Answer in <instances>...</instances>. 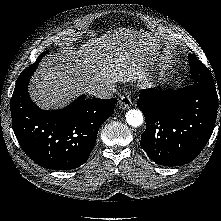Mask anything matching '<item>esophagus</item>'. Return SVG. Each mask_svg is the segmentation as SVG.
<instances>
[{
	"mask_svg": "<svg viewBox=\"0 0 221 221\" xmlns=\"http://www.w3.org/2000/svg\"><path fill=\"white\" fill-rule=\"evenodd\" d=\"M131 104H132V101L129 96H121L118 101L119 107L123 110L129 109Z\"/></svg>",
	"mask_w": 221,
	"mask_h": 221,
	"instance_id": "obj_1",
	"label": "esophagus"
}]
</instances>
